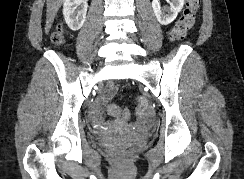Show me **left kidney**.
Here are the masks:
<instances>
[{"instance_id":"obj_1","label":"left kidney","mask_w":244,"mask_h":179,"mask_svg":"<svg viewBox=\"0 0 244 179\" xmlns=\"http://www.w3.org/2000/svg\"><path fill=\"white\" fill-rule=\"evenodd\" d=\"M159 2L160 0H153V12L161 26H168V24H171V22L177 18L179 12H181L184 6V0H171V2H169L170 8H167V10L160 8ZM165 12H167V14H165Z\"/></svg>"}]
</instances>
